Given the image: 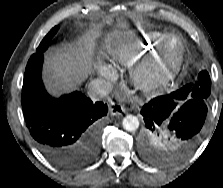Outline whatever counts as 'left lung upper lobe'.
Here are the masks:
<instances>
[{
	"label": "left lung upper lobe",
	"instance_id": "5c2ea615",
	"mask_svg": "<svg viewBox=\"0 0 223 188\" xmlns=\"http://www.w3.org/2000/svg\"><path fill=\"white\" fill-rule=\"evenodd\" d=\"M210 92V76L206 70H202L193 84H188L172 92L171 95L181 102L192 99L200 103H207ZM141 142L142 156L157 165H169L186 156L181 153L179 143L172 134L163 129L148 130L144 128Z\"/></svg>",
	"mask_w": 223,
	"mask_h": 188
}]
</instances>
